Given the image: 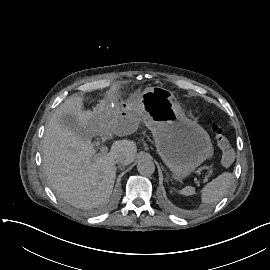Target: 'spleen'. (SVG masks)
<instances>
[{
	"mask_svg": "<svg viewBox=\"0 0 270 270\" xmlns=\"http://www.w3.org/2000/svg\"><path fill=\"white\" fill-rule=\"evenodd\" d=\"M232 174L224 172L211 182L207 183L202 189V202L213 203L221 200V198L227 193ZM181 194L189 196L195 193L194 187L187 186L180 191Z\"/></svg>",
	"mask_w": 270,
	"mask_h": 270,
	"instance_id": "obj_1",
	"label": "spleen"
}]
</instances>
